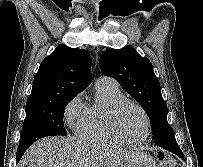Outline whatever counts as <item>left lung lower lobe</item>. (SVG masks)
<instances>
[{
	"label": "left lung lower lobe",
	"instance_id": "left-lung-lower-lobe-1",
	"mask_svg": "<svg viewBox=\"0 0 203 167\" xmlns=\"http://www.w3.org/2000/svg\"><path fill=\"white\" fill-rule=\"evenodd\" d=\"M156 144L161 146L163 149H166L174 154H177L178 156L183 157L180 147L178 146L175 138L167 137L164 140L158 141Z\"/></svg>",
	"mask_w": 203,
	"mask_h": 167
}]
</instances>
